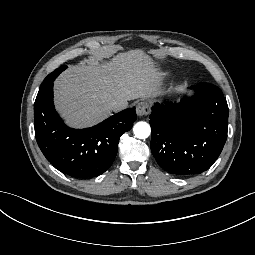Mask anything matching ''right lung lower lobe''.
<instances>
[{
    "label": "right lung lower lobe",
    "mask_w": 255,
    "mask_h": 255,
    "mask_svg": "<svg viewBox=\"0 0 255 255\" xmlns=\"http://www.w3.org/2000/svg\"><path fill=\"white\" fill-rule=\"evenodd\" d=\"M136 120L135 108L126 109L87 129H71L53 105V83L40 87L34 104L37 143L59 171L77 178L96 177L113 163L121 135Z\"/></svg>",
    "instance_id": "obj_1"
}]
</instances>
